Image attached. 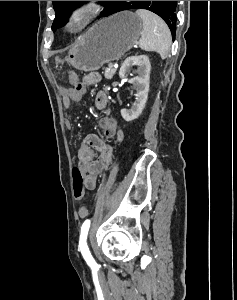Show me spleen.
<instances>
[{
	"label": "spleen",
	"instance_id": "spleen-1",
	"mask_svg": "<svg viewBox=\"0 0 237 300\" xmlns=\"http://www.w3.org/2000/svg\"><path fill=\"white\" fill-rule=\"evenodd\" d=\"M136 15L143 23L141 39L138 43L140 49L156 51L161 59H167L172 39L166 23L158 15L145 9H138Z\"/></svg>",
	"mask_w": 237,
	"mask_h": 300
}]
</instances>
